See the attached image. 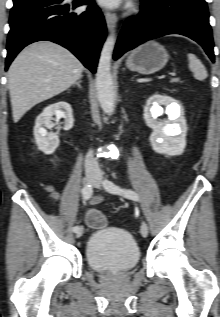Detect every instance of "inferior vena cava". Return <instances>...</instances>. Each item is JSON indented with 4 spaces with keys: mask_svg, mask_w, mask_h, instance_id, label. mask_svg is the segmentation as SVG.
Listing matches in <instances>:
<instances>
[{
    "mask_svg": "<svg viewBox=\"0 0 220 317\" xmlns=\"http://www.w3.org/2000/svg\"><path fill=\"white\" fill-rule=\"evenodd\" d=\"M85 170L88 172H98L99 165L96 158L93 156V152L89 151L85 158Z\"/></svg>",
    "mask_w": 220,
    "mask_h": 317,
    "instance_id": "inferior-vena-cava-1",
    "label": "inferior vena cava"
}]
</instances>
